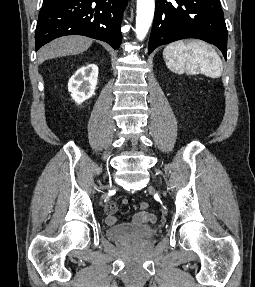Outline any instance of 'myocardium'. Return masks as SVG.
Returning <instances> with one entry per match:
<instances>
[{
    "mask_svg": "<svg viewBox=\"0 0 255 287\" xmlns=\"http://www.w3.org/2000/svg\"><path fill=\"white\" fill-rule=\"evenodd\" d=\"M147 48H166V47H147Z\"/></svg>",
    "mask_w": 255,
    "mask_h": 287,
    "instance_id": "1",
    "label": "myocardium"
}]
</instances>
